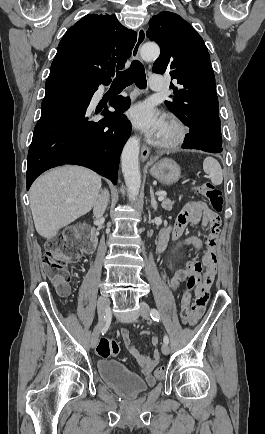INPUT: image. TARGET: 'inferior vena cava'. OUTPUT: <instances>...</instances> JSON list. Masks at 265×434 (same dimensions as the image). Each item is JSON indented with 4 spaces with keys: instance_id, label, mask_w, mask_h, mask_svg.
<instances>
[{
    "instance_id": "602c4592",
    "label": "inferior vena cava",
    "mask_w": 265,
    "mask_h": 434,
    "mask_svg": "<svg viewBox=\"0 0 265 434\" xmlns=\"http://www.w3.org/2000/svg\"><path fill=\"white\" fill-rule=\"evenodd\" d=\"M108 202H109V194L107 190H105V192H102V194H99V196H97V202H95L94 210H93L94 218H96V220H104L103 214L107 208Z\"/></svg>"
}]
</instances>
